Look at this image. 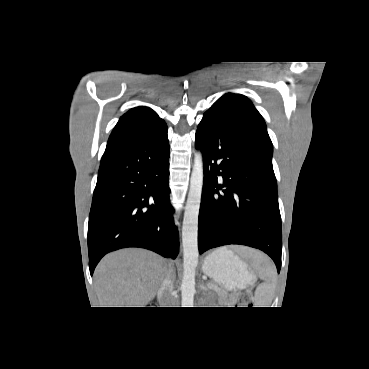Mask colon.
<instances>
[{"instance_id":"5ec220e1","label":"colon","mask_w":369,"mask_h":369,"mask_svg":"<svg viewBox=\"0 0 369 369\" xmlns=\"http://www.w3.org/2000/svg\"><path fill=\"white\" fill-rule=\"evenodd\" d=\"M249 301H250V298H249L248 296H244V297L242 298V302H243V303H249Z\"/></svg>"}]
</instances>
